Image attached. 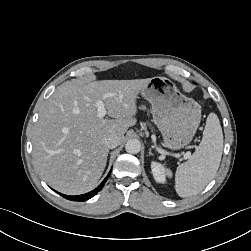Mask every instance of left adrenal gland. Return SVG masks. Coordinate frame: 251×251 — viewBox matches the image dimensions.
I'll return each mask as SVG.
<instances>
[{
	"label": "left adrenal gland",
	"mask_w": 251,
	"mask_h": 251,
	"mask_svg": "<svg viewBox=\"0 0 251 251\" xmlns=\"http://www.w3.org/2000/svg\"><path fill=\"white\" fill-rule=\"evenodd\" d=\"M149 155H150V156L153 155V153H152V151H151V148H149Z\"/></svg>",
	"instance_id": "1"
}]
</instances>
